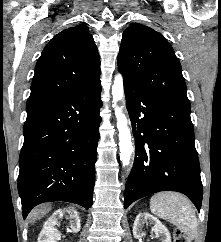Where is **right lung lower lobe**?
<instances>
[{
	"mask_svg": "<svg viewBox=\"0 0 221 242\" xmlns=\"http://www.w3.org/2000/svg\"><path fill=\"white\" fill-rule=\"evenodd\" d=\"M100 74L63 97L27 106L18 191L23 217L43 202L92 206Z\"/></svg>",
	"mask_w": 221,
	"mask_h": 242,
	"instance_id": "obj_1",
	"label": "right lung lower lobe"
}]
</instances>
